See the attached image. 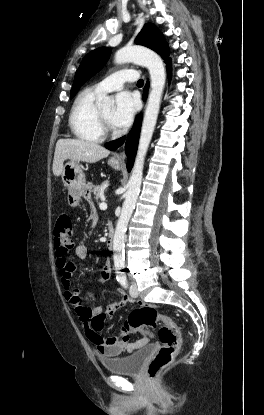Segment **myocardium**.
I'll use <instances>...</instances> for the list:
<instances>
[{
  "label": "myocardium",
  "mask_w": 264,
  "mask_h": 415,
  "mask_svg": "<svg viewBox=\"0 0 264 415\" xmlns=\"http://www.w3.org/2000/svg\"><path fill=\"white\" fill-rule=\"evenodd\" d=\"M96 118L99 131L103 137H115L118 135V133L113 128H111L99 109H96Z\"/></svg>",
  "instance_id": "obj_1"
}]
</instances>
